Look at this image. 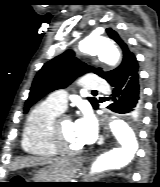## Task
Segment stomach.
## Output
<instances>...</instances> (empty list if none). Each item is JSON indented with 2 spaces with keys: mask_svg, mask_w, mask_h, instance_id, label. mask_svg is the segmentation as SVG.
<instances>
[{
  "mask_svg": "<svg viewBox=\"0 0 160 187\" xmlns=\"http://www.w3.org/2000/svg\"><path fill=\"white\" fill-rule=\"evenodd\" d=\"M80 167L74 158L58 159L41 168L31 182H71ZM66 183H33L34 187H56Z\"/></svg>",
  "mask_w": 160,
  "mask_h": 187,
  "instance_id": "stomach-1",
  "label": "stomach"
}]
</instances>
